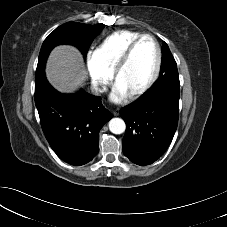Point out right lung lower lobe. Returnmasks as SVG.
Segmentation results:
<instances>
[{
    "label": "right lung lower lobe",
    "mask_w": 227,
    "mask_h": 227,
    "mask_svg": "<svg viewBox=\"0 0 227 227\" xmlns=\"http://www.w3.org/2000/svg\"><path fill=\"white\" fill-rule=\"evenodd\" d=\"M35 104L42 130L51 148L63 161L81 166L99 152V131L112 115L101 98L81 90L63 94L36 73Z\"/></svg>",
    "instance_id": "right-lung-lower-lobe-1"
}]
</instances>
